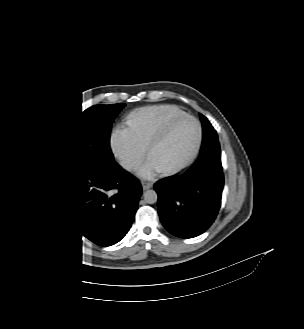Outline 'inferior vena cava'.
<instances>
[{
    "label": "inferior vena cava",
    "mask_w": 304,
    "mask_h": 329,
    "mask_svg": "<svg viewBox=\"0 0 304 329\" xmlns=\"http://www.w3.org/2000/svg\"><path fill=\"white\" fill-rule=\"evenodd\" d=\"M121 166H122L124 169H126V170H128V171H131V170L134 168L135 164H134L132 161H130V160H123V161L121 162Z\"/></svg>",
    "instance_id": "obj_1"
}]
</instances>
